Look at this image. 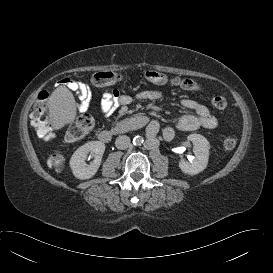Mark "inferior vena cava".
<instances>
[{"mask_svg":"<svg viewBox=\"0 0 273 273\" xmlns=\"http://www.w3.org/2000/svg\"><path fill=\"white\" fill-rule=\"evenodd\" d=\"M115 145L118 149L124 150L131 145L130 138L126 135H120L116 138Z\"/></svg>","mask_w":273,"mask_h":273,"instance_id":"602c4592","label":"inferior vena cava"}]
</instances>
